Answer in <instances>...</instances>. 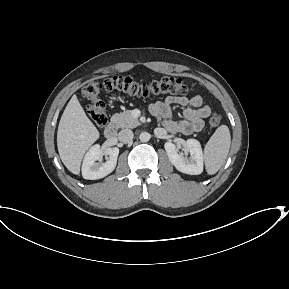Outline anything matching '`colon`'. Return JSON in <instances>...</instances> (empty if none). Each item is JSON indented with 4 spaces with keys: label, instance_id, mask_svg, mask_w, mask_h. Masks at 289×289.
<instances>
[{
    "label": "colon",
    "instance_id": "obj_1",
    "mask_svg": "<svg viewBox=\"0 0 289 289\" xmlns=\"http://www.w3.org/2000/svg\"><path fill=\"white\" fill-rule=\"evenodd\" d=\"M187 86L181 78L162 77L151 82H137L129 77L114 76L104 80L88 82L82 88V96L89 102L87 113L98 127L108 121L105 104L99 99L102 92L119 91L133 97L146 98L152 95H177L187 92ZM221 123V116L211 113L208 128L215 130Z\"/></svg>",
    "mask_w": 289,
    "mask_h": 289
}]
</instances>
